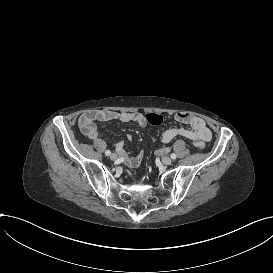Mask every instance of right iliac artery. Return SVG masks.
Instances as JSON below:
<instances>
[{
  "label": "right iliac artery",
  "instance_id": "82829eb1",
  "mask_svg": "<svg viewBox=\"0 0 273 273\" xmlns=\"http://www.w3.org/2000/svg\"><path fill=\"white\" fill-rule=\"evenodd\" d=\"M111 152L109 150H106L105 155L109 156Z\"/></svg>",
  "mask_w": 273,
  "mask_h": 273
}]
</instances>
